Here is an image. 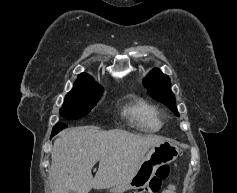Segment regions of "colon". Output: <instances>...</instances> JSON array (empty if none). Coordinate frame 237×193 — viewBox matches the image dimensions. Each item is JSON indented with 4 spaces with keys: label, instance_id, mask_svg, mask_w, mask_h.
<instances>
[{
    "label": "colon",
    "instance_id": "colon-1",
    "mask_svg": "<svg viewBox=\"0 0 237 193\" xmlns=\"http://www.w3.org/2000/svg\"><path fill=\"white\" fill-rule=\"evenodd\" d=\"M169 175V167L167 165L159 166L149 182L143 187L132 193H159L163 182Z\"/></svg>",
    "mask_w": 237,
    "mask_h": 193
}]
</instances>
